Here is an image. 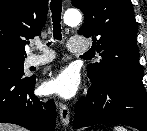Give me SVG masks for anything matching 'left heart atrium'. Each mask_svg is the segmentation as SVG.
<instances>
[{
	"mask_svg": "<svg viewBox=\"0 0 147 131\" xmlns=\"http://www.w3.org/2000/svg\"><path fill=\"white\" fill-rule=\"evenodd\" d=\"M44 86L48 94L69 99L78 91L79 76L76 71L67 68L49 78Z\"/></svg>",
	"mask_w": 147,
	"mask_h": 131,
	"instance_id": "obj_1",
	"label": "left heart atrium"
}]
</instances>
